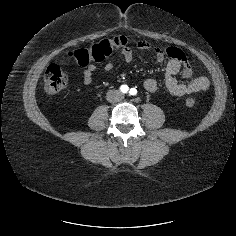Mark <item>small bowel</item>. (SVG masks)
Instances as JSON below:
<instances>
[{
  "mask_svg": "<svg viewBox=\"0 0 236 236\" xmlns=\"http://www.w3.org/2000/svg\"><path fill=\"white\" fill-rule=\"evenodd\" d=\"M137 49L141 51L152 50L156 59L163 61L169 59L165 68V87L175 96H185L190 94H198L206 91L209 86V80L204 76H194L193 70L185 56V54L177 47L168 46L165 48L153 46L145 40H140L136 43ZM123 59L126 63L134 61V54L130 46H126L121 50ZM114 64L111 59L105 60L103 68L105 71H111ZM96 66L88 64L83 69V83L88 86L96 78ZM181 73L186 80L181 83L176 79V75ZM158 87V83L154 78H147L144 80V88L149 92H154Z\"/></svg>",
  "mask_w": 236,
  "mask_h": 236,
  "instance_id": "small-bowel-1",
  "label": "small bowel"
}]
</instances>
